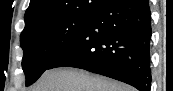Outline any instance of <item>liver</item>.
<instances>
[{"mask_svg": "<svg viewBox=\"0 0 173 91\" xmlns=\"http://www.w3.org/2000/svg\"><path fill=\"white\" fill-rule=\"evenodd\" d=\"M29 91H134L132 87L81 69L46 70Z\"/></svg>", "mask_w": 173, "mask_h": 91, "instance_id": "liver-1", "label": "liver"}]
</instances>
